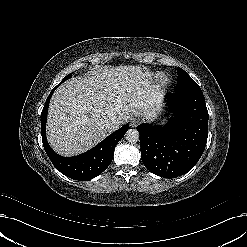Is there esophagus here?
Instances as JSON below:
<instances>
[{
    "label": "esophagus",
    "instance_id": "esophagus-1",
    "mask_svg": "<svg viewBox=\"0 0 247 247\" xmlns=\"http://www.w3.org/2000/svg\"><path fill=\"white\" fill-rule=\"evenodd\" d=\"M139 123H140V120L138 118H132L130 120V126L132 128L137 127Z\"/></svg>",
    "mask_w": 247,
    "mask_h": 247
}]
</instances>
